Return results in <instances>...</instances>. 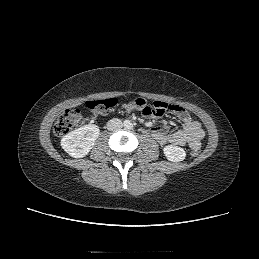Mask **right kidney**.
<instances>
[{
	"mask_svg": "<svg viewBox=\"0 0 259 259\" xmlns=\"http://www.w3.org/2000/svg\"><path fill=\"white\" fill-rule=\"evenodd\" d=\"M100 133L99 127L94 124L82 126L66 134L61 140L62 148L72 157L86 156L94 146Z\"/></svg>",
	"mask_w": 259,
	"mask_h": 259,
	"instance_id": "obj_1",
	"label": "right kidney"
}]
</instances>
